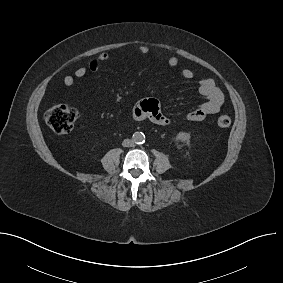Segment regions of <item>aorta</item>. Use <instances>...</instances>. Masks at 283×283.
<instances>
[{
    "mask_svg": "<svg viewBox=\"0 0 283 283\" xmlns=\"http://www.w3.org/2000/svg\"><path fill=\"white\" fill-rule=\"evenodd\" d=\"M132 140L136 144H142L145 142V135L142 132H135L133 134Z\"/></svg>",
    "mask_w": 283,
    "mask_h": 283,
    "instance_id": "1",
    "label": "aorta"
}]
</instances>
